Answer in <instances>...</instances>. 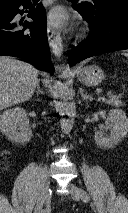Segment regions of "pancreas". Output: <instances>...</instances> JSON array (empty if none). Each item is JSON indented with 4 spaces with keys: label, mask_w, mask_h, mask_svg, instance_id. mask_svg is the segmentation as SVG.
I'll return each instance as SVG.
<instances>
[{
    "label": "pancreas",
    "mask_w": 128,
    "mask_h": 213,
    "mask_svg": "<svg viewBox=\"0 0 128 213\" xmlns=\"http://www.w3.org/2000/svg\"><path fill=\"white\" fill-rule=\"evenodd\" d=\"M104 103L108 104V105H112L114 107H121L124 105V102L121 101V99L119 97L116 96H111L109 98H102L101 99Z\"/></svg>",
    "instance_id": "cf45deb5"
}]
</instances>
